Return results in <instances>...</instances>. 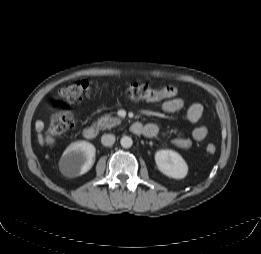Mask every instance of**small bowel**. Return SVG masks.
Segmentation results:
<instances>
[{"label": "small bowel", "instance_id": "obj_1", "mask_svg": "<svg viewBox=\"0 0 261 254\" xmlns=\"http://www.w3.org/2000/svg\"><path fill=\"white\" fill-rule=\"evenodd\" d=\"M184 106L182 98H173L165 101L162 104L163 110L168 113H174L181 110ZM204 115V107L200 103H193L189 106L186 112L187 120L196 124L197 126L191 131L189 135L178 136L174 138V144L181 149H188L192 146L193 142L202 141L208 134V129L202 124ZM143 126V125H142ZM144 132L142 135L152 138L155 137L159 128L156 124L149 123L143 126Z\"/></svg>", "mask_w": 261, "mask_h": 254}]
</instances>
